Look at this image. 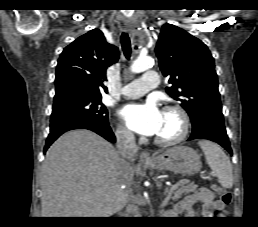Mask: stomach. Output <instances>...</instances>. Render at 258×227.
Here are the masks:
<instances>
[{"mask_svg": "<svg viewBox=\"0 0 258 227\" xmlns=\"http://www.w3.org/2000/svg\"><path fill=\"white\" fill-rule=\"evenodd\" d=\"M201 166L197 151L182 145L165 150L147 164V167L155 170H169L185 175L199 171Z\"/></svg>", "mask_w": 258, "mask_h": 227, "instance_id": "obj_1", "label": "stomach"}]
</instances>
